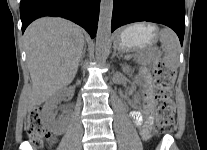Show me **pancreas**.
<instances>
[{
  "label": "pancreas",
  "mask_w": 207,
  "mask_h": 150,
  "mask_svg": "<svg viewBox=\"0 0 207 150\" xmlns=\"http://www.w3.org/2000/svg\"><path fill=\"white\" fill-rule=\"evenodd\" d=\"M133 57L139 64L147 65L155 58V54L154 52L147 50V51L137 52L136 54L133 55Z\"/></svg>",
  "instance_id": "cf45deb5"
}]
</instances>
